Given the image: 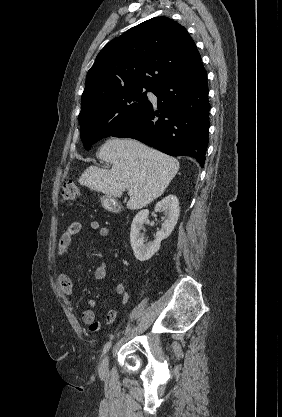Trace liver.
I'll return each mask as SVG.
<instances>
[{"label": "liver", "mask_w": 282, "mask_h": 417, "mask_svg": "<svg viewBox=\"0 0 282 417\" xmlns=\"http://www.w3.org/2000/svg\"><path fill=\"white\" fill-rule=\"evenodd\" d=\"M102 160L111 162L112 168L88 166L78 182L91 190H101L110 196H121L131 190L127 209L138 211L163 194L180 168L176 158L149 148L133 138H110L101 146Z\"/></svg>", "instance_id": "obj_1"}]
</instances>
